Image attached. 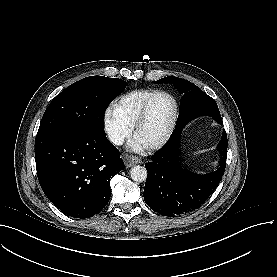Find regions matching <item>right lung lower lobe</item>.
Segmentation results:
<instances>
[{"instance_id": "right-lung-lower-lobe-1", "label": "right lung lower lobe", "mask_w": 277, "mask_h": 277, "mask_svg": "<svg viewBox=\"0 0 277 277\" xmlns=\"http://www.w3.org/2000/svg\"><path fill=\"white\" fill-rule=\"evenodd\" d=\"M37 176L47 198L65 214L89 218L110 199V179L124 169L105 132L36 136Z\"/></svg>"}]
</instances>
